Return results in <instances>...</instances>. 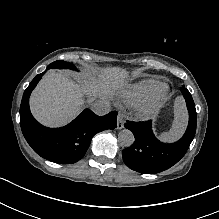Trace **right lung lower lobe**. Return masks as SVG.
<instances>
[{"label":"right lung lower lobe","instance_id":"1","mask_svg":"<svg viewBox=\"0 0 219 219\" xmlns=\"http://www.w3.org/2000/svg\"><path fill=\"white\" fill-rule=\"evenodd\" d=\"M44 73L38 74L25 90L20 106V125L25 139L41 157L55 163H75L86 153L92 137L117 126V112L97 116L85 109L64 127L47 128L39 124L29 109V97Z\"/></svg>","mask_w":219,"mask_h":219}]
</instances>
